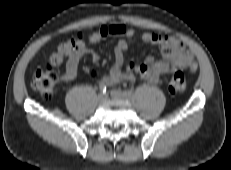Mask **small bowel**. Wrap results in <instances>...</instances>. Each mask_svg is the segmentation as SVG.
I'll list each match as a JSON object with an SVG mask.
<instances>
[{
    "instance_id": "1",
    "label": "small bowel",
    "mask_w": 231,
    "mask_h": 170,
    "mask_svg": "<svg viewBox=\"0 0 231 170\" xmlns=\"http://www.w3.org/2000/svg\"><path fill=\"white\" fill-rule=\"evenodd\" d=\"M110 36L118 37L114 49V64L108 73L100 76V84L113 85L121 81L134 82L136 76L151 83L160 84L163 74L178 69H188L190 72H195L197 69L194 56L185 44L175 37L159 32H144L141 39L145 43L158 45L162 58L156 60L153 56H148L142 64L129 62L124 69L125 52L129 45L135 41L136 33L132 28L123 24H113L100 27L89 36L87 42L83 39L77 40L75 49L68 56L62 79L64 81L74 79L78 72L80 60L86 55H89L93 62L99 61V54L93 51L90 45L97 44Z\"/></svg>"
}]
</instances>
